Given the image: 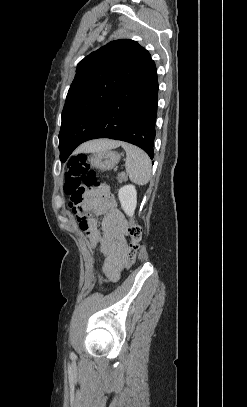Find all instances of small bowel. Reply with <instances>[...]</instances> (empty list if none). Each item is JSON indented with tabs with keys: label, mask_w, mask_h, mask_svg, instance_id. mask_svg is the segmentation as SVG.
I'll use <instances>...</instances> for the list:
<instances>
[{
	"label": "small bowel",
	"mask_w": 247,
	"mask_h": 407,
	"mask_svg": "<svg viewBox=\"0 0 247 407\" xmlns=\"http://www.w3.org/2000/svg\"><path fill=\"white\" fill-rule=\"evenodd\" d=\"M70 209L79 229L87 237L90 248L95 250L99 245L105 275L110 281L117 280L127 264L128 240L126 219L117 208L109 188L89 192L80 204L71 202ZM88 211L103 217L101 223L90 216Z\"/></svg>",
	"instance_id": "small-bowel-1"
}]
</instances>
